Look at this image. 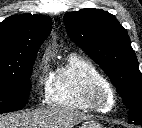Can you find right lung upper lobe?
<instances>
[{
	"instance_id": "1",
	"label": "right lung upper lobe",
	"mask_w": 142,
	"mask_h": 128,
	"mask_svg": "<svg viewBox=\"0 0 142 128\" xmlns=\"http://www.w3.org/2000/svg\"><path fill=\"white\" fill-rule=\"evenodd\" d=\"M51 28V18L43 15H12L1 22L0 74L13 72L35 60Z\"/></svg>"
}]
</instances>
